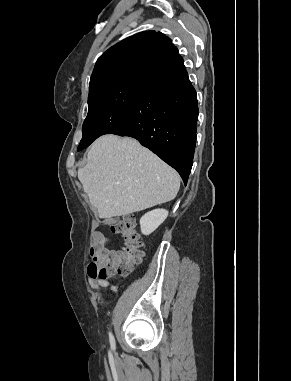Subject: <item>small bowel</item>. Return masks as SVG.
Segmentation results:
<instances>
[{
	"label": "small bowel",
	"mask_w": 291,
	"mask_h": 381,
	"mask_svg": "<svg viewBox=\"0 0 291 381\" xmlns=\"http://www.w3.org/2000/svg\"><path fill=\"white\" fill-rule=\"evenodd\" d=\"M107 242L106 237L101 232L93 234V249L104 247ZM91 284L95 287L101 286L103 288L109 287V283L104 279H91Z\"/></svg>",
	"instance_id": "small-bowel-1"
}]
</instances>
